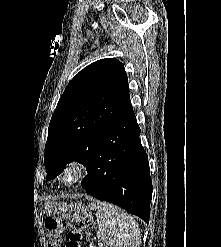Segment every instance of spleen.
Returning <instances> with one entry per match:
<instances>
[{"label":"spleen","instance_id":"3e777b00","mask_svg":"<svg viewBox=\"0 0 221 247\" xmlns=\"http://www.w3.org/2000/svg\"><path fill=\"white\" fill-rule=\"evenodd\" d=\"M93 208L103 247H140V231L132 216L105 202L94 203Z\"/></svg>","mask_w":221,"mask_h":247}]
</instances>
